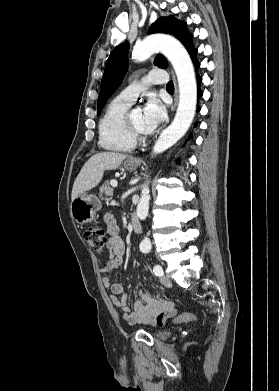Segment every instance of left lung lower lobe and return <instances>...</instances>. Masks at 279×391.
Here are the masks:
<instances>
[{
    "label": "left lung lower lobe",
    "instance_id": "1",
    "mask_svg": "<svg viewBox=\"0 0 279 391\" xmlns=\"http://www.w3.org/2000/svg\"><path fill=\"white\" fill-rule=\"evenodd\" d=\"M196 53H197V49H194V50L190 53V55H191V59H192L194 65H195V68H196V70H197V69L199 68V66H200V63L198 62V60H197V58H196ZM201 81H202V78L197 74L198 98L202 96V92H201V90H200V88H199V85H200ZM197 110H198V111L200 110V108H199L198 105H197ZM191 137H192V136L190 135V136H189V139H190Z\"/></svg>",
    "mask_w": 279,
    "mask_h": 391
}]
</instances>
